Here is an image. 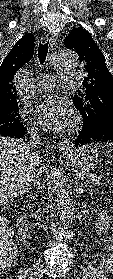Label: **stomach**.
I'll use <instances>...</instances> for the list:
<instances>
[{"instance_id":"stomach-1","label":"stomach","mask_w":113,"mask_h":279,"mask_svg":"<svg viewBox=\"0 0 113 279\" xmlns=\"http://www.w3.org/2000/svg\"><path fill=\"white\" fill-rule=\"evenodd\" d=\"M67 163L74 169L90 171L101 161L98 148L94 144H85L66 157Z\"/></svg>"}]
</instances>
